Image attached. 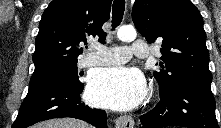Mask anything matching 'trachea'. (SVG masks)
Wrapping results in <instances>:
<instances>
[{
    "mask_svg": "<svg viewBox=\"0 0 221 128\" xmlns=\"http://www.w3.org/2000/svg\"><path fill=\"white\" fill-rule=\"evenodd\" d=\"M125 10V0H114L112 7V27L115 29L120 25Z\"/></svg>",
    "mask_w": 221,
    "mask_h": 128,
    "instance_id": "1",
    "label": "trachea"
}]
</instances>
